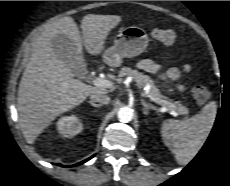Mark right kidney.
I'll return each instance as SVG.
<instances>
[{"label":"right kidney","mask_w":230,"mask_h":186,"mask_svg":"<svg viewBox=\"0 0 230 186\" xmlns=\"http://www.w3.org/2000/svg\"><path fill=\"white\" fill-rule=\"evenodd\" d=\"M57 130L63 137L71 138L83 130V124L75 115L65 116L57 122Z\"/></svg>","instance_id":"right-kidney-1"}]
</instances>
